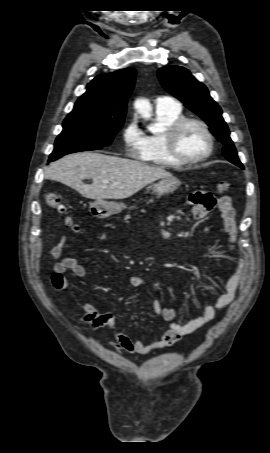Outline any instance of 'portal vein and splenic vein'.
<instances>
[{
	"mask_svg": "<svg viewBox=\"0 0 270 453\" xmlns=\"http://www.w3.org/2000/svg\"><path fill=\"white\" fill-rule=\"evenodd\" d=\"M102 182L105 183V184L108 183V181H102Z\"/></svg>",
	"mask_w": 270,
	"mask_h": 453,
	"instance_id": "1",
	"label": "portal vein and splenic vein"
}]
</instances>
